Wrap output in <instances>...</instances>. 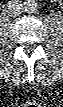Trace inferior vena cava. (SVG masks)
Masks as SVG:
<instances>
[{"instance_id":"602c4592","label":"inferior vena cava","mask_w":63,"mask_h":107,"mask_svg":"<svg viewBox=\"0 0 63 107\" xmlns=\"http://www.w3.org/2000/svg\"><path fill=\"white\" fill-rule=\"evenodd\" d=\"M23 6L18 0H11L6 4V11L11 16H18L22 13Z\"/></svg>"}]
</instances>
